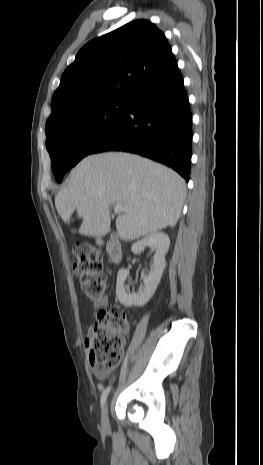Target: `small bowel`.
<instances>
[{
  "label": "small bowel",
  "instance_id": "c3829d8e",
  "mask_svg": "<svg viewBox=\"0 0 263 465\" xmlns=\"http://www.w3.org/2000/svg\"><path fill=\"white\" fill-rule=\"evenodd\" d=\"M108 302V297H102L100 299H96V300H93V304L96 308L98 307H101L103 305H105L106 303ZM95 374L98 376V377H105L106 376V373L105 372H97L95 371Z\"/></svg>",
  "mask_w": 263,
  "mask_h": 465
}]
</instances>
